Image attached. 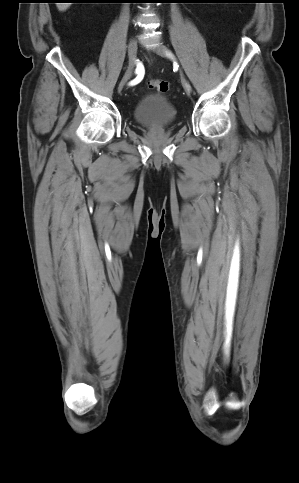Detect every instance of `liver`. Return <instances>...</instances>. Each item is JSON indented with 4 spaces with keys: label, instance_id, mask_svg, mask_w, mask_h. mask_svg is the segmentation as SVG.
Segmentation results:
<instances>
[{
    "label": "liver",
    "instance_id": "obj_1",
    "mask_svg": "<svg viewBox=\"0 0 299 483\" xmlns=\"http://www.w3.org/2000/svg\"><path fill=\"white\" fill-rule=\"evenodd\" d=\"M70 4L71 3H57V8L60 11H65L70 6Z\"/></svg>",
    "mask_w": 299,
    "mask_h": 483
}]
</instances>
